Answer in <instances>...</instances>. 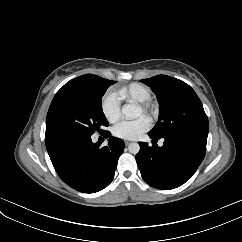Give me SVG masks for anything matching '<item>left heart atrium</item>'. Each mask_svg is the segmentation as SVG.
Wrapping results in <instances>:
<instances>
[{"mask_svg": "<svg viewBox=\"0 0 242 242\" xmlns=\"http://www.w3.org/2000/svg\"><path fill=\"white\" fill-rule=\"evenodd\" d=\"M150 125L148 118L139 117L132 121L119 122L113 127L112 132L115 137L136 140L150 128Z\"/></svg>", "mask_w": 242, "mask_h": 242, "instance_id": "obj_1", "label": "left heart atrium"}]
</instances>
